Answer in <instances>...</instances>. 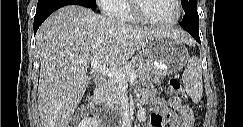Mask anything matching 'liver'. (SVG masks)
<instances>
[{"label": "liver", "instance_id": "6515ba94", "mask_svg": "<svg viewBox=\"0 0 243 127\" xmlns=\"http://www.w3.org/2000/svg\"><path fill=\"white\" fill-rule=\"evenodd\" d=\"M154 35L190 41L182 30L132 27L78 5L62 7L50 15L36 34L42 127H69L88 88L87 65L93 59L110 69L121 68Z\"/></svg>", "mask_w": 243, "mask_h": 127}]
</instances>
